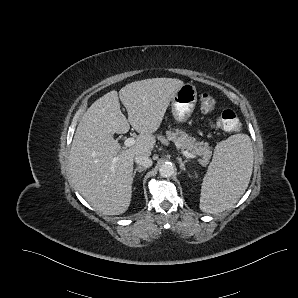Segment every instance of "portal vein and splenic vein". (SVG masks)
<instances>
[{
    "instance_id": "obj_1",
    "label": "portal vein and splenic vein",
    "mask_w": 298,
    "mask_h": 298,
    "mask_svg": "<svg viewBox=\"0 0 298 298\" xmlns=\"http://www.w3.org/2000/svg\"><path fill=\"white\" fill-rule=\"evenodd\" d=\"M136 143V138L135 137H129L125 140V145L130 147L133 146ZM180 152L183 156L187 157V158H192L193 155L186 149L181 148Z\"/></svg>"
}]
</instances>
